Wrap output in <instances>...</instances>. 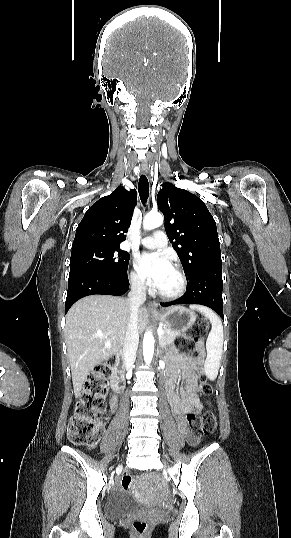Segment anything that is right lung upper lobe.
I'll list each match as a JSON object with an SVG mask.
<instances>
[{
    "label": "right lung upper lobe",
    "instance_id": "cb5924a9",
    "mask_svg": "<svg viewBox=\"0 0 291 538\" xmlns=\"http://www.w3.org/2000/svg\"><path fill=\"white\" fill-rule=\"evenodd\" d=\"M135 190L119 186L110 195L95 202L79 223L72 250L92 245L119 246L126 236L134 207Z\"/></svg>",
    "mask_w": 291,
    "mask_h": 538
}]
</instances>
